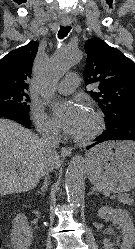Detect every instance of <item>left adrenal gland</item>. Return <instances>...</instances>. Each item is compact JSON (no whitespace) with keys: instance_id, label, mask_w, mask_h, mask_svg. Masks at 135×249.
<instances>
[{"instance_id":"a2214340","label":"left adrenal gland","mask_w":135,"mask_h":249,"mask_svg":"<svg viewBox=\"0 0 135 249\" xmlns=\"http://www.w3.org/2000/svg\"><path fill=\"white\" fill-rule=\"evenodd\" d=\"M92 194H96L97 195V193H95V190L92 188L91 189V191L88 193V195H92Z\"/></svg>"}]
</instances>
